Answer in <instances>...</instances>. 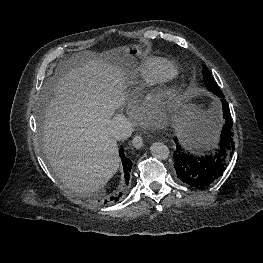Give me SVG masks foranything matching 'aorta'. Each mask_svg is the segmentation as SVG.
<instances>
[{
    "label": "aorta",
    "mask_w": 263,
    "mask_h": 263,
    "mask_svg": "<svg viewBox=\"0 0 263 263\" xmlns=\"http://www.w3.org/2000/svg\"><path fill=\"white\" fill-rule=\"evenodd\" d=\"M150 151L153 157L159 159V160H165L169 157V148L161 143V142H155L151 145Z\"/></svg>",
    "instance_id": "1"
}]
</instances>
